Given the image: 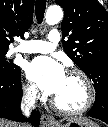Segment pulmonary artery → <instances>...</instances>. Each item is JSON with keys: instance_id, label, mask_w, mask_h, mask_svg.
Here are the masks:
<instances>
[{"instance_id": "e3ab8cb5", "label": "pulmonary artery", "mask_w": 108, "mask_h": 127, "mask_svg": "<svg viewBox=\"0 0 108 127\" xmlns=\"http://www.w3.org/2000/svg\"><path fill=\"white\" fill-rule=\"evenodd\" d=\"M60 41V34L57 30H51L48 34V41L31 40L24 42L17 47L16 51L22 53H49L56 49Z\"/></svg>"}]
</instances>
